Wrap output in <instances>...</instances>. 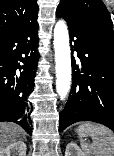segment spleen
<instances>
[{"label":"spleen","instance_id":"1","mask_svg":"<svg viewBox=\"0 0 114 156\" xmlns=\"http://www.w3.org/2000/svg\"><path fill=\"white\" fill-rule=\"evenodd\" d=\"M78 135L86 156H114V133L104 125L85 122L79 126ZM87 136L92 144L86 142Z\"/></svg>","mask_w":114,"mask_h":156}]
</instances>
